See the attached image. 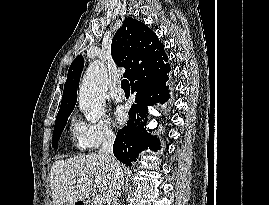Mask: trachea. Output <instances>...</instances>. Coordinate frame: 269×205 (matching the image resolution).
<instances>
[{"instance_id":"trachea-1","label":"trachea","mask_w":269,"mask_h":205,"mask_svg":"<svg viewBox=\"0 0 269 205\" xmlns=\"http://www.w3.org/2000/svg\"><path fill=\"white\" fill-rule=\"evenodd\" d=\"M121 87L124 90V92L130 93V85H129V81L127 79H123L121 81Z\"/></svg>"}]
</instances>
